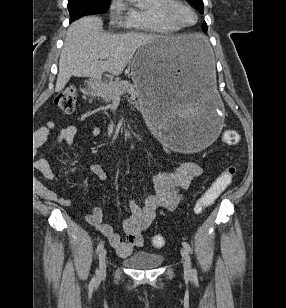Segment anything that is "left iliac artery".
Listing matches in <instances>:
<instances>
[{"label":"left iliac artery","mask_w":286,"mask_h":308,"mask_svg":"<svg viewBox=\"0 0 286 308\" xmlns=\"http://www.w3.org/2000/svg\"><path fill=\"white\" fill-rule=\"evenodd\" d=\"M182 245L184 246V248H185L188 252H190V253L192 252L191 247H190V245H189L187 242L183 241V242H182ZM193 273L196 274V270H195V269L193 270Z\"/></svg>","instance_id":"obj_1"}]
</instances>
